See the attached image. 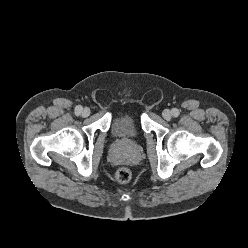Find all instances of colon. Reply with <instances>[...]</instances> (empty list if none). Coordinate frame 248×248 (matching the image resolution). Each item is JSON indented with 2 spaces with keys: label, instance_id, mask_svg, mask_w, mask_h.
<instances>
[{
  "label": "colon",
  "instance_id": "5ec220e1",
  "mask_svg": "<svg viewBox=\"0 0 248 248\" xmlns=\"http://www.w3.org/2000/svg\"><path fill=\"white\" fill-rule=\"evenodd\" d=\"M132 172L127 167L119 168L115 174V178L120 183H127L131 180Z\"/></svg>",
  "mask_w": 248,
  "mask_h": 248
}]
</instances>
